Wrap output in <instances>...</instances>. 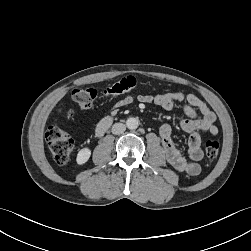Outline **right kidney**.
Segmentation results:
<instances>
[{
	"label": "right kidney",
	"instance_id": "ca27d5eb",
	"mask_svg": "<svg viewBox=\"0 0 251 251\" xmlns=\"http://www.w3.org/2000/svg\"><path fill=\"white\" fill-rule=\"evenodd\" d=\"M90 156L91 150L88 147L83 148L78 152L76 161L79 165H82L89 160Z\"/></svg>",
	"mask_w": 251,
	"mask_h": 251
}]
</instances>
